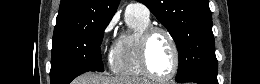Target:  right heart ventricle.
I'll use <instances>...</instances> for the list:
<instances>
[{"instance_id": "right-heart-ventricle-1", "label": "right heart ventricle", "mask_w": 260, "mask_h": 84, "mask_svg": "<svg viewBox=\"0 0 260 84\" xmlns=\"http://www.w3.org/2000/svg\"><path fill=\"white\" fill-rule=\"evenodd\" d=\"M129 30L122 33L114 47L110 65L114 73L137 78L144 75L139 58V40L141 33L150 26V19L136 13H126Z\"/></svg>"}]
</instances>
